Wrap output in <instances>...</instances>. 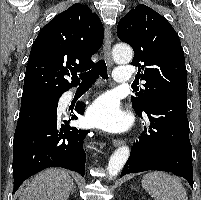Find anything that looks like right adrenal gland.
Wrapping results in <instances>:
<instances>
[{"label":"right adrenal gland","instance_id":"right-adrenal-gland-1","mask_svg":"<svg viewBox=\"0 0 201 200\" xmlns=\"http://www.w3.org/2000/svg\"><path fill=\"white\" fill-rule=\"evenodd\" d=\"M76 192V186L73 187L72 193Z\"/></svg>","mask_w":201,"mask_h":200}]
</instances>
